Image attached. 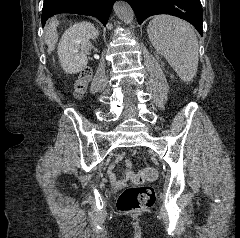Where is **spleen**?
I'll use <instances>...</instances> for the list:
<instances>
[{
  "label": "spleen",
  "mask_w": 240,
  "mask_h": 238,
  "mask_svg": "<svg viewBox=\"0 0 240 238\" xmlns=\"http://www.w3.org/2000/svg\"><path fill=\"white\" fill-rule=\"evenodd\" d=\"M154 48L163 55L183 81H191L199 60L198 39L191 26L178 18L157 15L147 28Z\"/></svg>",
  "instance_id": "obj_1"
}]
</instances>
